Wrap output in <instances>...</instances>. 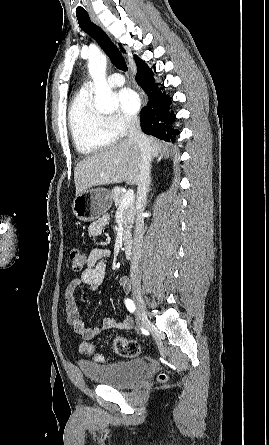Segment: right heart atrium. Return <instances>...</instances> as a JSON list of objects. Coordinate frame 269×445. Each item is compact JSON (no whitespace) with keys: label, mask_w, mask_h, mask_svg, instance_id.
<instances>
[{"label":"right heart atrium","mask_w":269,"mask_h":445,"mask_svg":"<svg viewBox=\"0 0 269 445\" xmlns=\"http://www.w3.org/2000/svg\"><path fill=\"white\" fill-rule=\"evenodd\" d=\"M107 120L117 137L125 136L136 125L135 117L122 114L110 115Z\"/></svg>","instance_id":"1"}]
</instances>
